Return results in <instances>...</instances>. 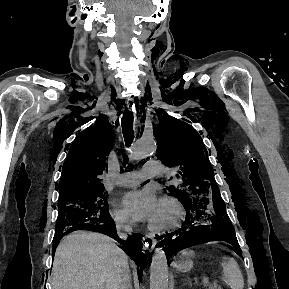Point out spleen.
Segmentation results:
<instances>
[{"label":"spleen","instance_id":"obj_1","mask_svg":"<svg viewBox=\"0 0 289 289\" xmlns=\"http://www.w3.org/2000/svg\"><path fill=\"white\" fill-rule=\"evenodd\" d=\"M223 280L231 289H243L244 279L238 263L234 258L222 262Z\"/></svg>","mask_w":289,"mask_h":289}]
</instances>
